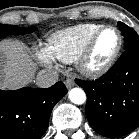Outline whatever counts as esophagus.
Instances as JSON below:
<instances>
[{"label": "esophagus", "mask_w": 139, "mask_h": 139, "mask_svg": "<svg viewBox=\"0 0 139 139\" xmlns=\"http://www.w3.org/2000/svg\"><path fill=\"white\" fill-rule=\"evenodd\" d=\"M65 85L69 89L75 85V82L72 78H67L65 81Z\"/></svg>", "instance_id": "1"}]
</instances>
